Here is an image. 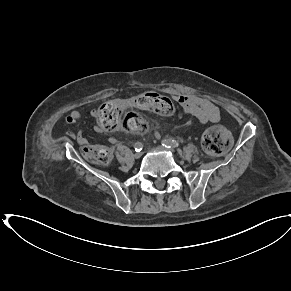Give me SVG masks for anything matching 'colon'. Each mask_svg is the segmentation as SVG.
Listing matches in <instances>:
<instances>
[{
    "label": "colon",
    "mask_w": 291,
    "mask_h": 291,
    "mask_svg": "<svg viewBox=\"0 0 291 291\" xmlns=\"http://www.w3.org/2000/svg\"><path fill=\"white\" fill-rule=\"evenodd\" d=\"M128 109L170 115L174 107L169 98L151 91L142 92L126 100H110L97 111V129L111 132L119 129L122 124L132 131L142 129L143 118L137 112H127ZM202 144L208 153L222 154L231 145L230 132L222 125L210 127L203 134ZM82 152L85 157L99 164H108L112 158L111 150L104 146L84 145Z\"/></svg>",
    "instance_id": "5ec220e1"
}]
</instances>
